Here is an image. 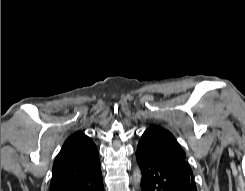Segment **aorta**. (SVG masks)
Wrapping results in <instances>:
<instances>
[{
	"instance_id": "obj_1",
	"label": "aorta",
	"mask_w": 245,
	"mask_h": 191,
	"mask_svg": "<svg viewBox=\"0 0 245 191\" xmlns=\"http://www.w3.org/2000/svg\"><path fill=\"white\" fill-rule=\"evenodd\" d=\"M141 178H142L141 171L139 168H136L133 172V183L135 186H138L140 184Z\"/></svg>"
}]
</instances>
